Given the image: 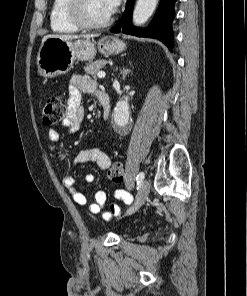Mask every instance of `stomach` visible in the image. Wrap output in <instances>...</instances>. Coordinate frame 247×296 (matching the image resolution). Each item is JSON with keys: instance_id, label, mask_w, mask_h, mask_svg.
I'll return each instance as SVG.
<instances>
[{"instance_id": "1", "label": "stomach", "mask_w": 247, "mask_h": 296, "mask_svg": "<svg viewBox=\"0 0 247 296\" xmlns=\"http://www.w3.org/2000/svg\"><path fill=\"white\" fill-rule=\"evenodd\" d=\"M104 55L118 54L126 49V44L115 37L105 36L97 43L90 39L74 42L59 38H48L38 51V73L44 78H52L67 73L75 60L91 61L97 49Z\"/></svg>"}]
</instances>
